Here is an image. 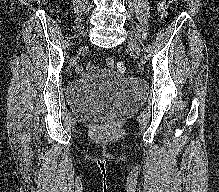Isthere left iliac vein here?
I'll return each instance as SVG.
<instances>
[{
    "label": "left iliac vein",
    "mask_w": 219,
    "mask_h": 192,
    "mask_svg": "<svg viewBox=\"0 0 219 192\" xmlns=\"http://www.w3.org/2000/svg\"><path fill=\"white\" fill-rule=\"evenodd\" d=\"M128 47L138 56L141 55V51H140V48L136 42V40L133 38V37H130L128 39Z\"/></svg>",
    "instance_id": "left-iliac-vein-1"
}]
</instances>
